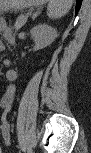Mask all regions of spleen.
<instances>
[{
    "instance_id": "spleen-1",
    "label": "spleen",
    "mask_w": 91,
    "mask_h": 153,
    "mask_svg": "<svg viewBox=\"0 0 91 153\" xmlns=\"http://www.w3.org/2000/svg\"><path fill=\"white\" fill-rule=\"evenodd\" d=\"M72 0H49L48 16L57 19L64 16L72 7Z\"/></svg>"
}]
</instances>
